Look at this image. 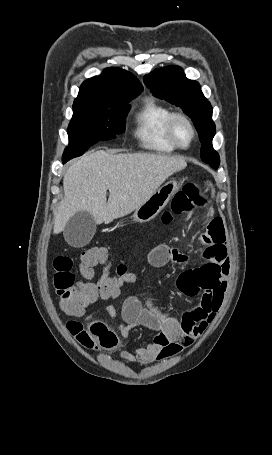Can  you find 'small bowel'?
Masks as SVG:
<instances>
[{"mask_svg": "<svg viewBox=\"0 0 272 455\" xmlns=\"http://www.w3.org/2000/svg\"><path fill=\"white\" fill-rule=\"evenodd\" d=\"M194 183L206 187L208 182L197 179ZM206 245L204 262L195 268L184 271L178 278V290L188 297L199 299L198 305L186 312L183 318H160L141 300L131 297L121 309L122 322L119 330L122 337H128L136 326H144L156 332L151 343L140 347L134 353L122 351L120 358L127 362L147 364L178 354L191 346L200 337L218 312L227 286L230 271V259L225 245V228L221 219H211L203 234ZM187 257L168 245L161 244L150 250L148 261L151 265L161 267L168 262H184ZM107 311L117 317L114 306Z\"/></svg>", "mask_w": 272, "mask_h": 455, "instance_id": "small-bowel-1", "label": "small bowel"}]
</instances>
